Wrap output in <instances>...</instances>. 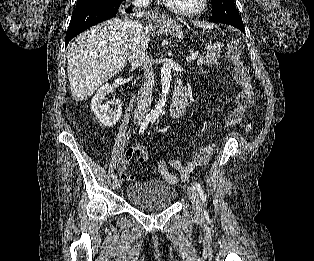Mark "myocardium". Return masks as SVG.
I'll list each match as a JSON object with an SVG mask.
<instances>
[{"mask_svg":"<svg viewBox=\"0 0 314 261\" xmlns=\"http://www.w3.org/2000/svg\"><path fill=\"white\" fill-rule=\"evenodd\" d=\"M168 10L181 15V16H195L206 10L209 4V0H200L199 4L194 8H181L168 0H163Z\"/></svg>","mask_w":314,"mask_h":261,"instance_id":"obj_1","label":"myocardium"}]
</instances>
